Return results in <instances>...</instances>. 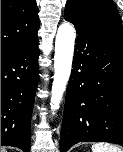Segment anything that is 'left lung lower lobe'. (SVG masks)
Segmentation results:
<instances>
[{"label":"left lung lower lobe","instance_id":"1","mask_svg":"<svg viewBox=\"0 0 123 152\" xmlns=\"http://www.w3.org/2000/svg\"><path fill=\"white\" fill-rule=\"evenodd\" d=\"M77 40L68 83L60 151L83 141L123 146V43L65 15Z\"/></svg>","mask_w":123,"mask_h":152}]
</instances>
